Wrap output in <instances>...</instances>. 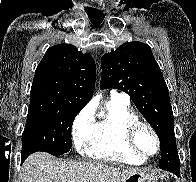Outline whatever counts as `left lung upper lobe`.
Masks as SVG:
<instances>
[{"label": "left lung upper lobe", "instance_id": "5c2ea615", "mask_svg": "<svg viewBox=\"0 0 196 182\" xmlns=\"http://www.w3.org/2000/svg\"><path fill=\"white\" fill-rule=\"evenodd\" d=\"M101 66V89L128 93L156 131L160 149L171 148L178 154L168 88L151 48L141 42L124 43L104 54ZM159 168L176 174L180 169L179 157L171 162L160 160Z\"/></svg>", "mask_w": 196, "mask_h": 182}]
</instances>
